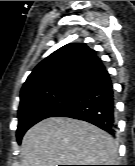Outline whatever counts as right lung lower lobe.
Segmentation results:
<instances>
[{"label":"right lung lower lobe","mask_w":135,"mask_h":166,"mask_svg":"<svg viewBox=\"0 0 135 166\" xmlns=\"http://www.w3.org/2000/svg\"><path fill=\"white\" fill-rule=\"evenodd\" d=\"M70 87L73 95L70 104L54 116L87 121L115 135L114 90L106 68L102 65Z\"/></svg>","instance_id":"1"}]
</instances>
